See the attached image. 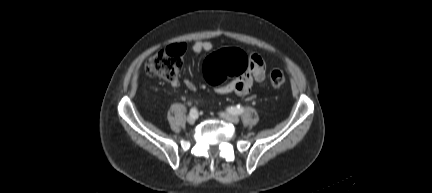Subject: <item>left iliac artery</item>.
<instances>
[{
    "mask_svg": "<svg viewBox=\"0 0 432 193\" xmlns=\"http://www.w3.org/2000/svg\"><path fill=\"white\" fill-rule=\"evenodd\" d=\"M227 110L231 114L239 115V114L243 113L244 108L238 105V106H234V107H229Z\"/></svg>",
    "mask_w": 432,
    "mask_h": 193,
    "instance_id": "44dca946",
    "label": "left iliac artery"
}]
</instances>
